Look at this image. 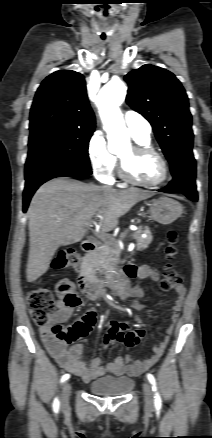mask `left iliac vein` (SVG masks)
I'll list each match as a JSON object with an SVG mask.
<instances>
[{"mask_svg":"<svg viewBox=\"0 0 212 438\" xmlns=\"http://www.w3.org/2000/svg\"><path fill=\"white\" fill-rule=\"evenodd\" d=\"M144 398L147 408H152L154 405L153 390L148 382L143 384Z\"/></svg>","mask_w":212,"mask_h":438,"instance_id":"1","label":"left iliac vein"}]
</instances>
